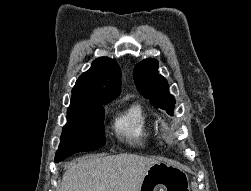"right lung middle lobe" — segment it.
Here are the masks:
<instances>
[{"label": "right lung middle lobe", "mask_w": 251, "mask_h": 191, "mask_svg": "<svg viewBox=\"0 0 251 191\" xmlns=\"http://www.w3.org/2000/svg\"><path fill=\"white\" fill-rule=\"evenodd\" d=\"M104 108L86 106L67 112V123L63 127L55 162L84 151L97 150L105 145Z\"/></svg>", "instance_id": "1"}]
</instances>
